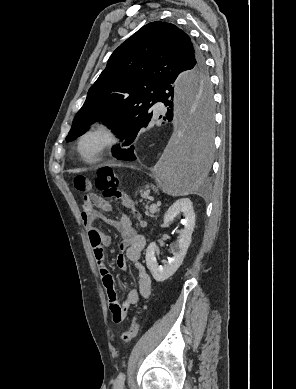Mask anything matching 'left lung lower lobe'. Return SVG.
Listing matches in <instances>:
<instances>
[{"label": "left lung lower lobe", "mask_w": 296, "mask_h": 389, "mask_svg": "<svg viewBox=\"0 0 296 389\" xmlns=\"http://www.w3.org/2000/svg\"><path fill=\"white\" fill-rule=\"evenodd\" d=\"M175 79L165 81L159 89L157 101L163 102L167 106V113L164 120H176V93L174 89ZM191 94L197 96L196 101L199 108V120L195 133H192L186 141V155L191 164L193 178L204 177L208 171L211 159L212 141L209 136V129L212 123V94L210 86L206 83L203 76H194L191 78ZM137 127L130 132L123 140L124 146L130 145L136 135L134 132ZM112 155L119 160L133 161L136 159L134 146L123 148L116 145L111 149Z\"/></svg>", "instance_id": "obj_1"}]
</instances>
